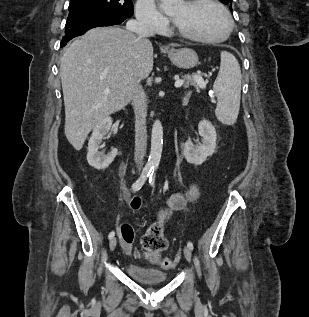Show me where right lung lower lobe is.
Returning a JSON list of instances; mask_svg holds the SVG:
<instances>
[{
  "mask_svg": "<svg viewBox=\"0 0 309 317\" xmlns=\"http://www.w3.org/2000/svg\"><path fill=\"white\" fill-rule=\"evenodd\" d=\"M125 19V17L103 12H70L65 26V36L61 41L60 47L65 46L66 42L84 34L91 28L118 25Z\"/></svg>",
  "mask_w": 309,
  "mask_h": 317,
  "instance_id": "1",
  "label": "right lung lower lobe"
}]
</instances>
